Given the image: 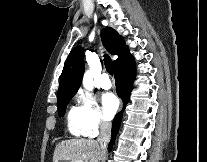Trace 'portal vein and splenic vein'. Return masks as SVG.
Wrapping results in <instances>:
<instances>
[{
  "instance_id": "portal-vein-and-splenic-vein-1",
  "label": "portal vein and splenic vein",
  "mask_w": 207,
  "mask_h": 162,
  "mask_svg": "<svg viewBox=\"0 0 207 162\" xmlns=\"http://www.w3.org/2000/svg\"><path fill=\"white\" fill-rule=\"evenodd\" d=\"M76 162H83V161H81V160H78V161H76Z\"/></svg>"
}]
</instances>
